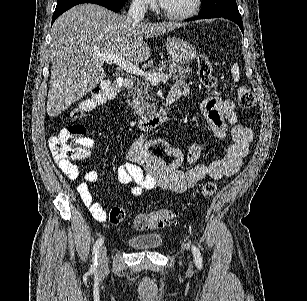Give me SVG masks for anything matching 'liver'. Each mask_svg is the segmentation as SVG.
I'll return each instance as SVG.
<instances>
[{
  "label": "liver",
  "mask_w": 307,
  "mask_h": 301,
  "mask_svg": "<svg viewBox=\"0 0 307 301\" xmlns=\"http://www.w3.org/2000/svg\"><path fill=\"white\" fill-rule=\"evenodd\" d=\"M180 26V22H133L127 14L90 2L63 12L50 32L49 116H58L104 80V60L97 54H120L130 62H143L151 54L144 36H159Z\"/></svg>",
  "instance_id": "6515ba94"
}]
</instances>
